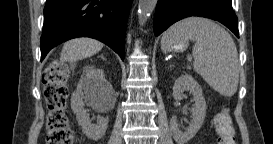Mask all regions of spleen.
<instances>
[{
    "label": "spleen",
    "mask_w": 273,
    "mask_h": 144,
    "mask_svg": "<svg viewBox=\"0 0 273 144\" xmlns=\"http://www.w3.org/2000/svg\"><path fill=\"white\" fill-rule=\"evenodd\" d=\"M192 40L194 70L223 96H233L239 82L236 45L230 34L215 22L202 17H189L171 26L161 40L162 50L174 40Z\"/></svg>",
    "instance_id": "spleen-1"
}]
</instances>
